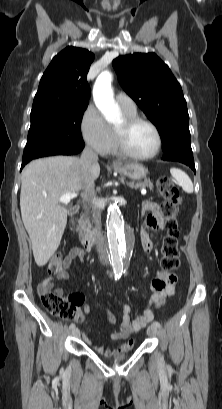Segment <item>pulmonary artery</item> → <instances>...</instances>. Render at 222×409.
<instances>
[{
    "label": "pulmonary artery",
    "mask_w": 222,
    "mask_h": 409,
    "mask_svg": "<svg viewBox=\"0 0 222 409\" xmlns=\"http://www.w3.org/2000/svg\"><path fill=\"white\" fill-rule=\"evenodd\" d=\"M116 102L121 107V109L126 111H136V104L131 97L123 92L116 94Z\"/></svg>",
    "instance_id": "1"
}]
</instances>
